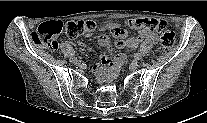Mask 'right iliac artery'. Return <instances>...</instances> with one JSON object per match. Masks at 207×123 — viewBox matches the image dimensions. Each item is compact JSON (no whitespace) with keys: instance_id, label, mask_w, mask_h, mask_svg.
<instances>
[{"instance_id":"right-iliac-artery-1","label":"right iliac artery","mask_w":207,"mask_h":123,"mask_svg":"<svg viewBox=\"0 0 207 123\" xmlns=\"http://www.w3.org/2000/svg\"><path fill=\"white\" fill-rule=\"evenodd\" d=\"M69 60H70V62L73 63L75 60H77V58L76 57H71Z\"/></svg>"}]
</instances>
